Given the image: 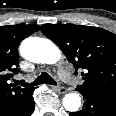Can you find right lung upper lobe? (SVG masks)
I'll list each match as a JSON object with an SVG mask.
<instances>
[{"instance_id": "1", "label": "right lung upper lobe", "mask_w": 116, "mask_h": 116, "mask_svg": "<svg viewBox=\"0 0 116 116\" xmlns=\"http://www.w3.org/2000/svg\"><path fill=\"white\" fill-rule=\"evenodd\" d=\"M39 30L36 25L0 26V116H12L32 96L35 88L15 87L10 83L18 69V46L26 37Z\"/></svg>"}]
</instances>
